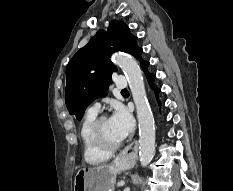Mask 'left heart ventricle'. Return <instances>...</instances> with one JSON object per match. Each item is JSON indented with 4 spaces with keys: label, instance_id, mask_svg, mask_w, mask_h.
<instances>
[{
    "label": "left heart ventricle",
    "instance_id": "1",
    "mask_svg": "<svg viewBox=\"0 0 233 191\" xmlns=\"http://www.w3.org/2000/svg\"><path fill=\"white\" fill-rule=\"evenodd\" d=\"M101 135L104 141L108 144H116L121 141L114 131L109 119L102 122Z\"/></svg>",
    "mask_w": 233,
    "mask_h": 191
}]
</instances>
